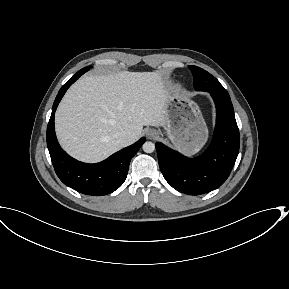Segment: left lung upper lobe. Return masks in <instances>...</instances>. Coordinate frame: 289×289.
<instances>
[{
    "label": "left lung upper lobe",
    "instance_id": "obj_1",
    "mask_svg": "<svg viewBox=\"0 0 289 289\" xmlns=\"http://www.w3.org/2000/svg\"><path fill=\"white\" fill-rule=\"evenodd\" d=\"M193 74V86L197 91L215 92L227 95L228 92L220 82L204 69L197 66H189Z\"/></svg>",
    "mask_w": 289,
    "mask_h": 289
}]
</instances>
